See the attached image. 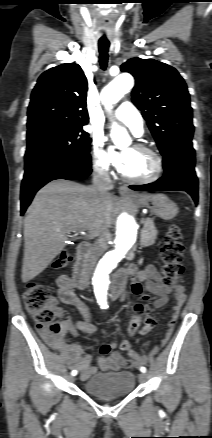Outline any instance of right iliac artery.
I'll list each match as a JSON object with an SVG mask.
<instances>
[{
  "label": "right iliac artery",
  "instance_id": "82829eb1",
  "mask_svg": "<svg viewBox=\"0 0 212 438\" xmlns=\"http://www.w3.org/2000/svg\"><path fill=\"white\" fill-rule=\"evenodd\" d=\"M77 373H78L77 370H73V371L71 372V375H72V376H75V375H77Z\"/></svg>",
  "mask_w": 212,
  "mask_h": 438
}]
</instances>
